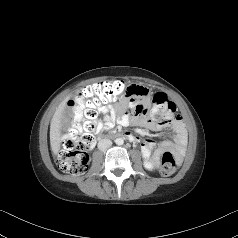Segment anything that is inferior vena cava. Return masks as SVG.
<instances>
[{
	"mask_svg": "<svg viewBox=\"0 0 238 238\" xmlns=\"http://www.w3.org/2000/svg\"><path fill=\"white\" fill-rule=\"evenodd\" d=\"M111 145H112V141L109 139H101L98 142L99 150H105V149L109 148Z\"/></svg>",
	"mask_w": 238,
	"mask_h": 238,
	"instance_id": "1",
	"label": "inferior vena cava"
}]
</instances>
